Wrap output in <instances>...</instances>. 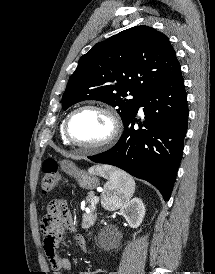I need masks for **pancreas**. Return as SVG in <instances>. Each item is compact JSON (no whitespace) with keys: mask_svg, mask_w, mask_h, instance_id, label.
Listing matches in <instances>:
<instances>
[{"mask_svg":"<svg viewBox=\"0 0 215 274\" xmlns=\"http://www.w3.org/2000/svg\"><path fill=\"white\" fill-rule=\"evenodd\" d=\"M93 195L91 193L88 194V197L86 199V202L89 204L88 208H89V213H85L84 214V225L86 227H89L90 225H92L95 220H96V214H95V209H96V203L93 201Z\"/></svg>","mask_w":215,"mask_h":274,"instance_id":"obj_1","label":"pancreas"}]
</instances>
